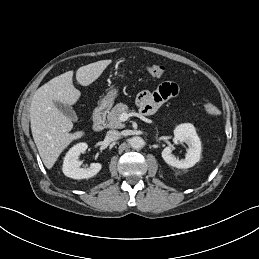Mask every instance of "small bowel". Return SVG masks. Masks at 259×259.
Returning <instances> with one entry per match:
<instances>
[{"mask_svg": "<svg viewBox=\"0 0 259 259\" xmlns=\"http://www.w3.org/2000/svg\"><path fill=\"white\" fill-rule=\"evenodd\" d=\"M178 94V86L174 82H163L153 91H142L136 101L141 112L150 115L160 109L165 102Z\"/></svg>", "mask_w": 259, "mask_h": 259, "instance_id": "c3829d8e", "label": "small bowel"}]
</instances>
